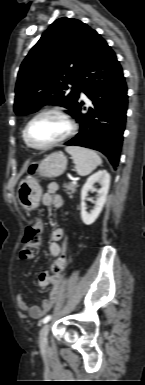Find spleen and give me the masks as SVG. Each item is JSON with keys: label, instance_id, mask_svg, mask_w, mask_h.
<instances>
[{"label": "spleen", "instance_id": "obj_1", "mask_svg": "<svg viewBox=\"0 0 145 385\" xmlns=\"http://www.w3.org/2000/svg\"><path fill=\"white\" fill-rule=\"evenodd\" d=\"M65 150L72 156L77 174L80 176L89 175L102 164V159L94 150L79 146H67Z\"/></svg>", "mask_w": 145, "mask_h": 385}]
</instances>
